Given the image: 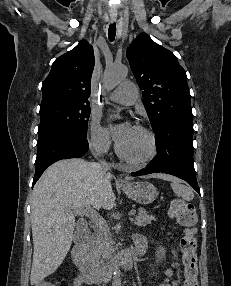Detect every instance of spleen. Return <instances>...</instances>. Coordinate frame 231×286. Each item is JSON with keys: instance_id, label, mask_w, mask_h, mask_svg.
I'll return each instance as SVG.
<instances>
[{"instance_id": "obj_1", "label": "spleen", "mask_w": 231, "mask_h": 286, "mask_svg": "<svg viewBox=\"0 0 231 286\" xmlns=\"http://www.w3.org/2000/svg\"><path fill=\"white\" fill-rule=\"evenodd\" d=\"M171 187L174 191V193L178 197H182L183 199L190 201L194 198V193L191 188L187 187L186 185H183L180 183L178 179H172L171 180Z\"/></svg>"}]
</instances>
